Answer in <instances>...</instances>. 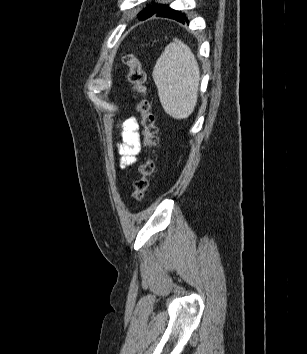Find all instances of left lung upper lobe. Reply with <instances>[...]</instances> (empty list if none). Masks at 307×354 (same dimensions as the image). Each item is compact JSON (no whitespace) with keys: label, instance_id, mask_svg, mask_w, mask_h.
Segmentation results:
<instances>
[{"label":"left lung upper lobe","instance_id":"1","mask_svg":"<svg viewBox=\"0 0 307 354\" xmlns=\"http://www.w3.org/2000/svg\"><path fill=\"white\" fill-rule=\"evenodd\" d=\"M165 5H152L149 6L148 8H146L145 10H143L142 12H140V14L138 15V18L140 20H144L152 15H154L155 13L159 12Z\"/></svg>","mask_w":307,"mask_h":354}]
</instances>
